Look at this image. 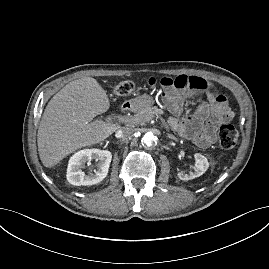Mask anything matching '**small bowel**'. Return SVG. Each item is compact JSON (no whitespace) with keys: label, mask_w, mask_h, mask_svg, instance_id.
<instances>
[{"label":"small bowel","mask_w":269,"mask_h":269,"mask_svg":"<svg viewBox=\"0 0 269 269\" xmlns=\"http://www.w3.org/2000/svg\"><path fill=\"white\" fill-rule=\"evenodd\" d=\"M150 88L172 93L178 90L203 91L206 101L199 104L196 111L184 119H171L170 123L182 136L195 142L199 147L207 148L215 141L218 127L233 118L224 95L215 91V85L197 76H152L148 80ZM168 108L173 113L182 109V101L175 95L167 99Z\"/></svg>","instance_id":"obj_1"}]
</instances>
